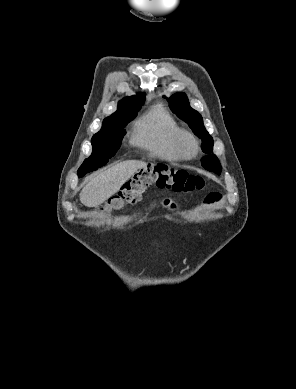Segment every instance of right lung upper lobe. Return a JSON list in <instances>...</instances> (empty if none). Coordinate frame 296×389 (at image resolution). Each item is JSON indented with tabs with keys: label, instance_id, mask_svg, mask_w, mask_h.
Returning <instances> with one entry per match:
<instances>
[{
	"label": "right lung upper lobe",
	"instance_id": "cb5924a9",
	"mask_svg": "<svg viewBox=\"0 0 296 389\" xmlns=\"http://www.w3.org/2000/svg\"><path fill=\"white\" fill-rule=\"evenodd\" d=\"M144 96L145 94H142L140 96H131V97L124 98L119 102L117 111L107 118L116 117L130 110L141 108V106L143 105V101L145 99Z\"/></svg>",
	"mask_w": 296,
	"mask_h": 389
}]
</instances>
